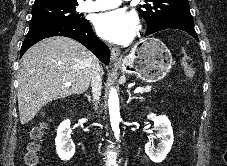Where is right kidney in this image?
<instances>
[{"instance_id": "right-kidney-1", "label": "right kidney", "mask_w": 227, "mask_h": 166, "mask_svg": "<svg viewBox=\"0 0 227 166\" xmlns=\"http://www.w3.org/2000/svg\"><path fill=\"white\" fill-rule=\"evenodd\" d=\"M70 120H64L57 129L55 139L56 152L61 160H70L75 153V145L71 139Z\"/></svg>"}]
</instances>
